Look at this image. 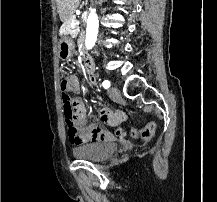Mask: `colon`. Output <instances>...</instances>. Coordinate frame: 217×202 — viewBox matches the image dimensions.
<instances>
[{
	"label": "colon",
	"mask_w": 217,
	"mask_h": 202,
	"mask_svg": "<svg viewBox=\"0 0 217 202\" xmlns=\"http://www.w3.org/2000/svg\"><path fill=\"white\" fill-rule=\"evenodd\" d=\"M74 82H77L73 76L65 77L60 82L62 101L64 106V120L68 131H77L74 124V117L70 108V96L69 92L73 91ZM156 123L153 121L149 123V127H144L143 131H132V136H141L140 138L145 141H152V135H155Z\"/></svg>",
	"instance_id": "obj_1"
}]
</instances>
